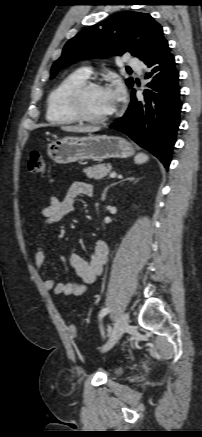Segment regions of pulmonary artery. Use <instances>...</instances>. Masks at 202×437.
Here are the masks:
<instances>
[{
    "mask_svg": "<svg viewBox=\"0 0 202 437\" xmlns=\"http://www.w3.org/2000/svg\"><path fill=\"white\" fill-rule=\"evenodd\" d=\"M128 66H130L131 68L137 70L138 72H141V63L138 59L136 58H130L127 62ZM87 75L90 74V71L88 69H84L83 70Z\"/></svg>",
    "mask_w": 202,
    "mask_h": 437,
    "instance_id": "pulmonary-artery-1",
    "label": "pulmonary artery"
}]
</instances>
